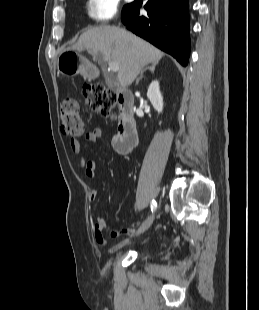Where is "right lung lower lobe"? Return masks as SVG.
Here are the masks:
<instances>
[{"label":"right lung lower lobe","instance_id":"right-lung-lower-lobe-1","mask_svg":"<svg viewBox=\"0 0 259 310\" xmlns=\"http://www.w3.org/2000/svg\"><path fill=\"white\" fill-rule=\"evenodd\" d=\"M136 0L122 11L121 20L136 35L187 66L190 56L188 0H148L147 16H139Z\"/></svg>","mask_w":259,"mask_h":310}]
</instances>
